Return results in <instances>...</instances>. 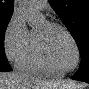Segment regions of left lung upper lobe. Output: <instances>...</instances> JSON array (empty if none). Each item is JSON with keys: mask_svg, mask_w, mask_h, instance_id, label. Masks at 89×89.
Segmentation results:
<instances>
[{"mask_svg": "<svg viewBox=\"0 0 89 89\" xmlns=\"http://www.w3.org/2000/svg\"><path fill=\"white\" fill-rule=\"evenodd\" d=\"M75 39L81 62L89 60V0H49Z\"/></svg>", "mask_w": 89, "mask_h": 89, "instance_id": "obj_1", "label": "left lung upper lobe"}]
</instances>
